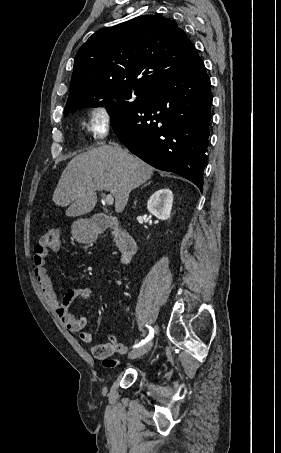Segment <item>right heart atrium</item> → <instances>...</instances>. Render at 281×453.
Returning <instances> with one entry per match:
<instances>
[{"label": "right heart atrium", "instance_id": "right-heart-atrium-1", "mask_svg": "<svg viewBox=\"0 0 281 453\" xmlns=\"http://www.w3.org/2000/svg\"><path fill=\"white\" fill-rule=\"evenodd\" d=\"M114 124V118L111 111L104 105H94L87 111L86 129L93 140H101L107 136ZM94 159L100 156V153L94 151L90 153Z\"/></svg>", "mask_w": 281, "mask_h": 453}]
</instances>
